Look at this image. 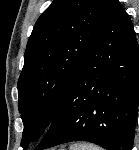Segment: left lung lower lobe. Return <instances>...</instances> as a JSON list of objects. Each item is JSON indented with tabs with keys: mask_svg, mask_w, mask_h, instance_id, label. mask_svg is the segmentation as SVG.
I'll list each match as a JSON object with an SVG mask.
<instances>
[{
	"mask_svg": "<svg viewBox=\"0 0 139 150\" xmlns=\"http://www.w3.org/2000/svg\"><path fill=\"white\" fill-rule=\"evenodd\" d=\"M139 108V47L118 0L36 150L88 141L132 150Z\"/></svg>",
	"mask_w": 139,
	"mask_h": 150,
	"instance_id": "left-lung-lower-lobe-1",
	"label": "left lung lower lobe"
}]
</instances>
